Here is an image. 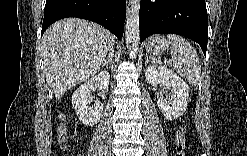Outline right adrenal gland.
<instances>
[{
    "instance_id": "obj_1",
    "label": "right adrenal gland",
    "mask_w": 247,
    "mask_h": 156,
    "mask_svg": "<svg viewBox=\"0 0 247 156\" xmlns=\"http://www.w3.org/2000/svg\"><path fill=\"white\" fill-rule=\"evenodd\" d=\"M112 61H113V59H112V57H108V59L107 60H105L103 63H102V65L103 66H109V64H111L112 63Z\"/></svg>"
}]
</instances>
